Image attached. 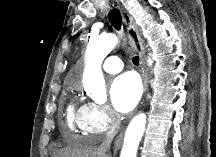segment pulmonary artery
<instances>
[{"label":"pulmonary artery","mask_w":216,"mask_h":157,"mask_svg":"<svg viewBox=\"0 0 216 157\" xmlns=\"http://www.w3.org/2000/svg\"><path fill=\"white\" fill-rule=\"evenodd\" d=\"M102 68L107 73H118L123 68V63L119 56H109L102 64Z\"/></svg>","instance_id":"1"}]
</instances>
